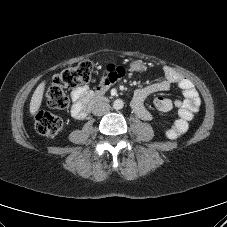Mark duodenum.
I'll use <instances>...</instances> for the list:
<instances>
[{
    "label": "duodenum",
    "instance_id": "obj_1",
    "mask_svg": "<svg viewBox=\"0 0 227 227\" xmlns=\"http://www.w3.org/2000/svg\"><path fill=\"white\" fill-rule=\"evenodd\" d=\"M104 100V97L101 94H94L92 95L86 102L84 113L85 115L89 112V110L97 103Z\"/></svg>",
    "mask_w": 227,
    "mask_h": 227
}]
</instances>
